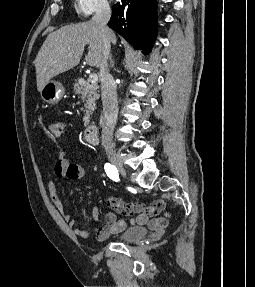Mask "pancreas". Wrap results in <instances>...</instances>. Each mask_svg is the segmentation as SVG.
I'll return each instance as SVG.
<instances>
[{"label": "pancreas", "mask_w": 255, "mask_h": 287, "mask_svg": "<svg viewBox=\"0 0 255 287\" xmlns=\"http://www.w3.org/2000/svg\"><path fill=\"white\" fill-rule=\"evenodd\" d=\"M76 84H73L74 86V92L77 94V96H81L83 102H85L84 106L86 110H84V126H88L89 120H90V114L94 112V108L96 106V100H99L100 96L98 94L99 92V86L97 84H92V82H86L84 78H78V80H75Z\"/></svg>", "instance_id": "obj_1"}]
</instances>
